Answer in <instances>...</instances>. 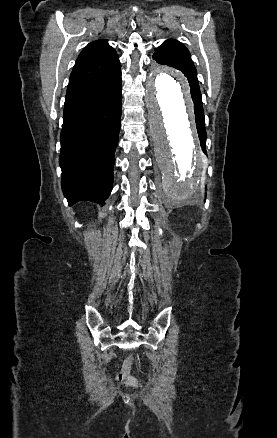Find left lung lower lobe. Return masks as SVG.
Instances as JSON below:
<instances>
[{
  "mask_svg": "<svg viewBox=\"0 0 277 438\" xmlns=\"http://www.w3.org/2000/svg\"><path fill=\"white\" fill-rule=\"evenodd\" d=\"M195 119H196V127L198 131V136L200 139L201 147L203 152L206 154V131H205V125H204V113H195Z\"/></svg>",
  "mask_w": 277,
  "mask_h": 438,
  "instance_id": "1",
  "label": "left lung lower lobe"
}]
</instances>
